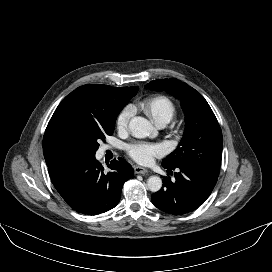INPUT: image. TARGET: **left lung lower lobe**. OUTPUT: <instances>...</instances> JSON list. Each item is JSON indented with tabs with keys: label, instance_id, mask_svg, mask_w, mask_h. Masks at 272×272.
I'll list each match as a JSON object with an SVG mask.
<instances>
[{
	"label": "left lung lower lobe",
	"instance_id": "left-lung-lower-lobe-1",
	"mask_svg": "<svg viewBox=\"0 0 272 272\" xmlns=\"http://www.w3.org/2000/svg\"><path fill=\"white\" fill-rule=\"evenodd\" d=\"M162 166L170 174L171 170H176L175 179L163 177V188L152 194L151 200L158 209L173 215H183L201 206L210 196L218 179V175L187 164Z\"/></svg>",
	"mask_w": 272,
	"mask_h": 272
}]
</instances>
